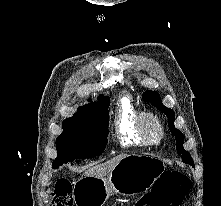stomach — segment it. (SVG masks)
<instances>
[{
  "label": "stomach",
  "mask_w": 221,
  "mask_h": 206,
  "mask_svg": "<svg viewBox=\"0 0 221 206\" xmlns=\"http://www.w3.org/2000/svg\"><path fill=\"white\" fill-rule=\"evenodd\" d=\"M165 170L162 159L154 156L127 155L109 175L103 178L84 176L80 179V206H103L112 193L135 195L150 189Z\"/></svg>",
  "instance_id": "obj_1"
}]
</instances>
